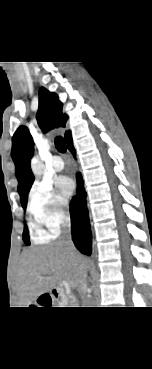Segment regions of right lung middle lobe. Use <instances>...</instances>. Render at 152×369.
<instances>
[{
	"instance_id": "1",
	"label": "right lung middle lobe",
	"mask_w": 152,
	"mask_h": 369,
	"mask_svg": "<svg viewBox=\"0 0 152 369\" xmlns=\"http://www.w3.org/2000/svg\"><path fill=\"white\" fill-rule=\"evenodd\" d=\"M23 209L26 208L27 202H23L21 203ZM23 240L25 242L26 245H30V241H29V234H28V229L27 227L24 228V233H23Z\"/></svg>"
}]
</instances>
